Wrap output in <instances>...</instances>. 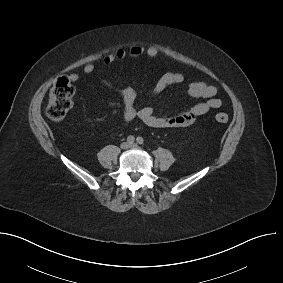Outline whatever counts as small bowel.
<instances>
[{
    "mask_svg": "<svg viewBox=\"0 0 283 283\" xmlns=\"http://www.w3.org/2000/svg\"><path fill=\"white\" fill-rule=\"evenodd\" d=\"M158 54L159 50L155 46L143 47L141 45H133L128 49L119 48L105 55L103 57V62L105 64H111L116 61H122L128 56L133 58H139L142 56L156 58ZM94 71L95 66L92 63H88L83 67V72L85 74H92ZM69 79L76 82L79 80V75L77 73H72L69 75ZM183 81L184 75L180 72L165 73L157 81L151 94L157 95L164 91L167 87L180 84ZM103 82L106 85L115 88L122 96L124 101V122L126 124L134 121L135 119H139L146 125L154 128L186 127L193 124L198 117L206 114L211 109H217L222 105V101L216 97L217 88L205 82L198 81L189 84L187 87V94L192 98L203 99V101L177 115L161 116L156 114L152 107L145 106L138 108L136 106L137 92L134 88L129 86H115L108 80H103Z\"/></svg>",
    "mask_w": 283,
    "mask_h": 283,
    "instance_id": "small-bowel-1",
    "label": "small bowel"
}]
</instances>
